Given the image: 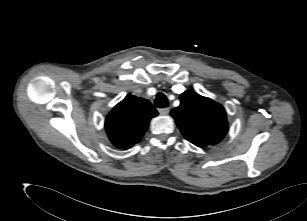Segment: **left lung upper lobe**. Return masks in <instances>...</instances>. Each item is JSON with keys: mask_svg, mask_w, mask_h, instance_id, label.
<instances>
[{"mask_svg": "<svg viewBox=\"0 0 307 221\" xmlns=\"http://www.w3.org/2000/svg\"><path fill=\"white\" fill-rule=\"evenodd\" d=\"M181 104L171 111L183 136L194 145L204 148L221 141L228 129L224 108L210 98L186 91Z\"/></svg>", "mask_w": 307, "mask_h": 221, "instance_id": "left-lung-upper-lobe-1", "label": "left lung upper lobe"}]
</instances>
